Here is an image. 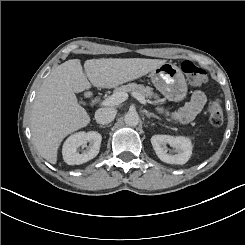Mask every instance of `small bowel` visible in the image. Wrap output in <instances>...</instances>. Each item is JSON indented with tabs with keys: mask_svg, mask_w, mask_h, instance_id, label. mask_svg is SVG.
I'll return each instance as SVG.
<instances>
[{
	"mask_svg": "<svg viewBox=\"0 0 245 245\" xmlns=\"http://www.w3.org/2000/svg\"><path fill=\"white\" fill-rule=\"evenodd\" d=\"M156 99L159 101L158 98ZM206 101L207 98L204 92L195 91L185 106L172 113V118L180 123H188L201 112Z\"/></svg>",
	"mask_w": 245,
	"mask_h": 245,
	"instance_id": "small-bowel-1",
	"label": "small bowel"
}]
</instances>
